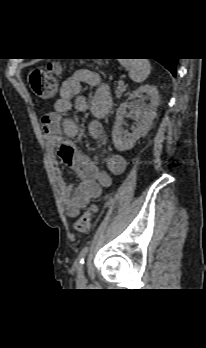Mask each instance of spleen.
<instances>
[{
    "label": "spleen",
    "instance_id": "spleen-1",
    "mask_svg": "<svg viewBox=\"0 0 206 348\" xmlns=\"http://www.w3.org/2000/svg\"><path fill=\"white\" fill-rule=\"evenodd\" d=\"M120 64L129 69V77L136 83L145 81L151 71L147 59H121Z\"/></svg>",
    "mask_w": 206,
    "mask_h": 348
}]
</instances>
